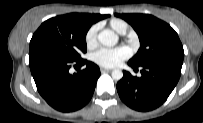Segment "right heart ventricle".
Returning <instances> with one entry per match:
<instances>
[{"label":"right heart ventricle","instance_id":"1","mask_svg":"<svg viewBox=\"0 0 203 123\" xmlns=\"http://www.w3.org/2000/svg\"><path fill=\"white\" fill-rule=\"evenodd\" d=\"M110 25L118 33H120L124 29H127V24L123 20H120V19L111 20Z\"/></svg>","mask_w":203,"mask_h":123}]
</instances>
